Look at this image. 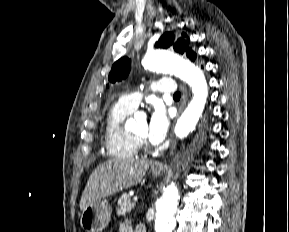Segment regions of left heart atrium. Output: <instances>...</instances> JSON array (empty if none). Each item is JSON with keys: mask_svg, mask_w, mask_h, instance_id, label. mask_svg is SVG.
<instances>
[{"mask_svg": "<svg viewBox=\"0 0 289 232\" xmlns=\"http://www.w3.org/2000/svg\"><path fill=\"white\" fill-rule=\"evenodd\" d=\"M169 118L162 105L156 104L153 107L147 123V137L153 144L161 143L168 132Z\"/></svg>", "mask_w": 289, "mask_h": 232, "instance_id": "left-heart-atrium-1", "label": "left heart atrium"}]
</instances>
